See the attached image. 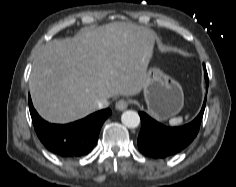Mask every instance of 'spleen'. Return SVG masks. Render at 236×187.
<instances>
[{
    "mask_svg": "<svg viewBox=\"0 0 236 187\" xmlns=\"http://www.w3.org/2000/svg\"><path fill=\"white\" fill-rule=\"evenodd\" d=\"M186 118H188V115L186 116ZM183 123V118L182 117H176V118H172L169 120V125L170 126H179Z\"/></svg>",
    "mask_w": 236,
    "mask_h": 187,
    "instance_id": "obj_1",
    "label": "spleen"
}]
</instances>
